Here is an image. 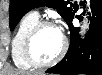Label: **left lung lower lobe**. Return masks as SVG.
<instances>
[{
    "label": "left lung lower lobe",
    "instance_id": "obj_1",
    "mask_svg": "<svg viewBox=\"0 0 102 75\" xmlns=\"http://www.w3.org/2000/svg\"><path fill=\"white\" fill-rule=\"evenodd\" d=\"M91 4L92 18L86 37L80 39L79 29L73 26V12L67 21L70 49L58 64L47 70L48 73L102 75V0H91Z\"/></svg>",
    "mask_w": 102,
    "mask_h": 75
}]
</instances>
